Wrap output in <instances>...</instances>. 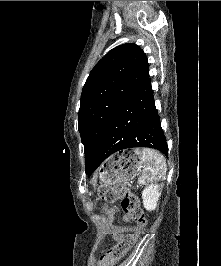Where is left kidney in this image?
Listing matches in <instances>:
<instances>
[{
	"label": "left kidney",
	"instance_id": "1",
	"mask_svg": "<svg viewBox=\"0 0 221 266\" xmlns=\"http://www.w3.org/2000/svg\"><path fill=\"white\" fill-rule=\"evenodd\" d=\"M161 193H159V185L151 184L142 192V199L144 208L148 211L156 209L157 202Z\"/></svg>",
	"mask_w": 221,
	"mask_h": 266
}]
</instances>
